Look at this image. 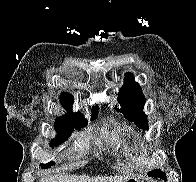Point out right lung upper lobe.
Returning <instances> with one entry per match:
<instances>
[{
	"mask_svg": "<svg viewBox=\"0 0 196 182\" xmlns=\"http://www.w3.org/2000/svg\"><path fill=\"white\" fill-rule=\"evenodd\" d=\"M74 101L72 95L68 93H64L61 95V104L63 107L68 111L67 115H72V116H78V117H83L80 112L73 113L72 112V102ZM98 107H94L93 109V115L97 113Z\"/></svg>",
	"mask_w": 196,
	"mask_h": 182,
	"instance_id": "cb5924a9",
	"label": "right lung upper lobe"
}]
</instances>
